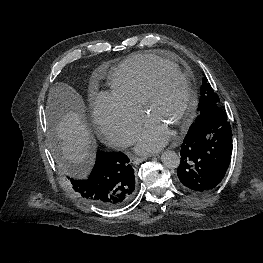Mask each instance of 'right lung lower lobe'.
Listing matches in <instances>:
<instances>
[{
	"mask_svg": "<svg viewBox=\"0 0 263 263\" xmlns=\"http://www.w3.org/2000/svg\"><path fill=\"white\" fill-rule=\"evenodd\" d=\"M73 189L87 203L103 208L125 205L135 189L134 170L122 152L98 151L95 166L86 179H70Z\"/></svg>",
	"mask_w": 263,
	"mask_h": 263,
	"instance_id": "obj_1",
	"label": "right lung lower lobe"
}]
</instances>
